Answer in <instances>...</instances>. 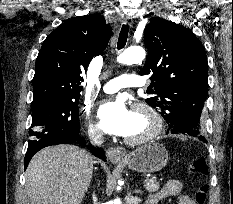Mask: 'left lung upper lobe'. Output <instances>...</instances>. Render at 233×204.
I'll use <instances>...</instances> for the list:
<instances>
[{"instance_id": "obj_1", "label": "left lung upper lobe", "mask_w": 233, "mask_h": 204, "mask_svg": "<svg viewBox=\"0 0 233 204\" xmlns=\"http://www.w3.org/2000/svg\"><path fill=\"white\" fill-rule=\"evenodd\" d=\"M148 57L141 75L149 76L151 94L145 99L156 108L173 134L201 135L200 117L208 93V62L205 49L190 29L163 18H151L144 30ZM185 106L198 109V123L176 126L174 113Z\"/></svg>"}]
</instances>
